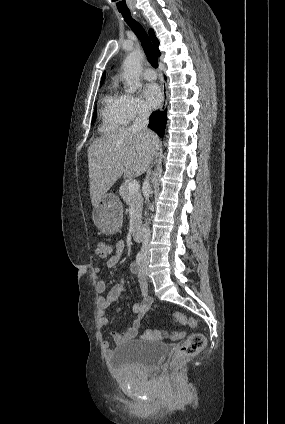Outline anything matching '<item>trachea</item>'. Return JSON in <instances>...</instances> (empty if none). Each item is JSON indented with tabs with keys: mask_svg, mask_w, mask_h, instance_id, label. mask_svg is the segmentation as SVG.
Masks as SVG:
<instances>
[{
	"mask_svg": "<svg viewBox=\"0 0 285 424\" xmlns=\"http://www.w3.org/2000/svg\"><path fill=\"white\" fill-rule=\"evenodd\" d=\"M119 12L122 14L125 22L129 25V27L132 29V31L136 34V36L141 41V44L143 46V49L147 55V59L150 62V64L153 67H158L157 53L144 28L141 26L140 23H138L136 20L132 18L130 11H119Z\"/></svg>",
	"mask_w": 285,
	"mask_h": 424,
	"instance_id": "1",
	"label": "trachea"
}]
</instances>
